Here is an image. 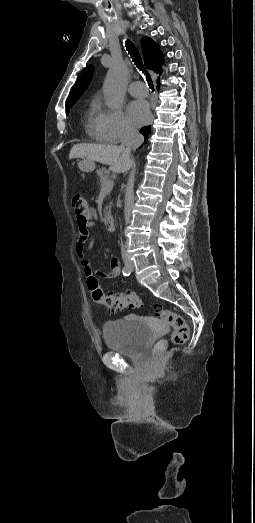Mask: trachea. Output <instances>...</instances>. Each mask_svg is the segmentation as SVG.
<instances>
[{
  "label": "trachea",
  "mask_w": 255,
  "mask_h": 523,
  "mask_svg": "<svg viewBox=\"0 0 255 523\" xmlns=\"http://www.w3.org/2000/svg\"><path fill=\"white\" fill-rule=\"evenodd\" d=\"M126 48L129 52V54L131 55V58H132L134 64L137 66V68H139V70H141L143 73L146 74V80L148 82L149 87L151 88V90H154V85H153L152 79H151L150 75L147 74L145 68L143 67L142 59H141L140 53L137 50V48L130 40L126 41Z\"/></svg>",
  "instance_id": "obj_1"
}]
</instances>
